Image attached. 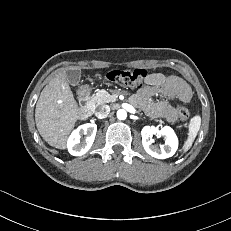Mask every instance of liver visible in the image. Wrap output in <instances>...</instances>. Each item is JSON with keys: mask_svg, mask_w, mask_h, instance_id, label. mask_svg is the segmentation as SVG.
Wrapping results in <instances>:
<instances>
[{"mask_svg": "<svg viewBox=\"0 0 231 231\" xmlns=\"http://www.w3.org/2000/svg\"><path fill=\"white\" fill-rule=\"evenodd\" d=\"M84 118L69 86L65 71L59 72L42 90L35 121L42 138L52 147L65 149L78 119Z\"/></svg>", "mask_w": 231, "mask_h": 231, "instance_id": "liver-1", "label": "liver"}]
</instances>
